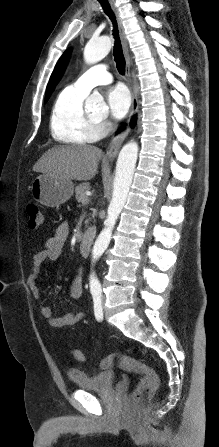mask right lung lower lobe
Returning a JSON list of instances; mask_svg holds the SVG:
<instances>
[{
    "instance_id": "98d812e1",
    "label": "right lung lower lobe",
    "mask_w": 219,
    "mask_h": 447,
    "mask_svg": "<svg viewBox=\"0 0 219 447\" xmlns=\"http://www.w3.org/2000/svg\"><path fill=\"white\" fill-rule=\"evenodd\" d=\"M135 121H136V119H134V120H133V122H132V125H134V124H135ZM122 128H123V127H122ZM122 128H120V130H121Z\"/></svg>"
}]
</instances>
